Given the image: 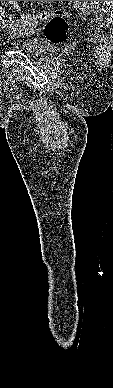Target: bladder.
<instances>
[{
  "label": "bladder",
  "mask_w": 113,
  "mask_h": 388,
  "mask_svg": "<svg viewBox=\"0 0 113 388\" xmlns=\"http://www.w3.org/2000/svg\"><path fill=\"white\" fill-rule=\"evenodd\" d=\"M35 27L36 21L31 17L27 18L24 22H20L17 25V28L22 35L30 34L35 29ZM45 49L46 46L37 41H27L22 47V50L32 57H39L43 55Z\"/></svg>",
  "instance_id": "31cf9c89"
}]
</instances>
